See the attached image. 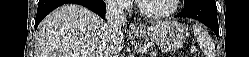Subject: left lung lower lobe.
I'll list each match as a JSON object with an SVG mask.
<instances>
[{
    "mask_svg": "<svg viewBox=\"0 0 249 57\" xmlns=\"http://www.w3.org/2000/svg\"><path fill=\"white\" fill-rule=\"evenodd\" d=\"M176 17L196 19L211 28L217 36L219 34L215 0H188L184 2V9Z\"/></svg>",
    "mask_w": 249,
    "mask_h": 57,
    "instance_id": "obj_1",
    "label": "left lung lower lobe"
}]
</instances>
